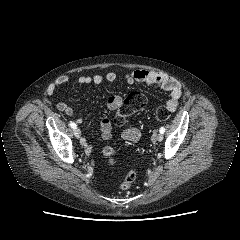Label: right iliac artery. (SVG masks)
Returning a JSON list of instances; mask_svg holds the SVG:
<instances>
[{
	"label": "right iliac artery",
	"instance_id": "82829eb1",
	"mask_svg": "<svg viewBox=\"0 0 240 240\" xmlns=\"http://www.w3.org/2000/svg\"><path fill=\"white\" fill-rule=\"evenodd\" d=\"M69 125L73 129L77 128V125L74 122H70Z\"/></svg>",
	"mask_w": 240,
	"mask_h": 240
}]
</instances>
